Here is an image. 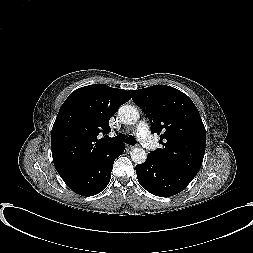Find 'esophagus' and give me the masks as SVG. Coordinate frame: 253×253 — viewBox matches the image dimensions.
I'll use <instances>...</instances> for the list:
<instances>
[{
    "label": "esophagus",
    "mask_w": 253,
    "mask_h": 253,
    "mask_svg": "<svg viewBox=\"0 0 253 253\" xmlns=\"http://www.w3.org/2000/svg\"><path fill=\"white\" fill-rule=\"evenodd\" d=\"M127 148L130 149V150H132V149L135 148V146H133V145H127Z\"/></svg>",
    "instance_id": "esophagus-1"
}]
</instances>
